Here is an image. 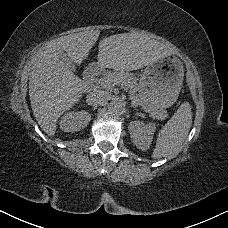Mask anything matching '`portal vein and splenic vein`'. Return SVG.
Returning a JSON list of instances; mask_svg holds the SVG:
<instances>
[{
    "label": "portal vein and splenic vein",
    "instance_id": "obj_1",
    "mask_svg": "<svg viewBox=\"0 0 228 228\" xmlns=\"http://www.w3.org/2000/svg\"><path fill=\"white\" fill-rule=\"evenodd\" d=\"M104 87L108 90L112 89L113 88V84H112V81L111 80H102V79H99L97 81V85L95 86V89H99V87Z\"/></svg>",
    "mask_w": 228,
    "mask_h": 228
}]
</instances>
